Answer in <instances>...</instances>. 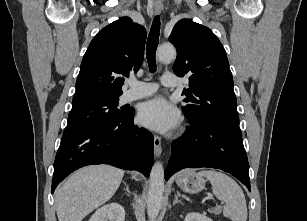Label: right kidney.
I'll list each match as a JSON object with an SVG mask.
<instances>
[{
	"label": "right kidney",
	"instance_id": "obj_1",
	"mask_svg": "<svg viewBox=\"0 0 307 221\" xmlns=\"http://www.w3.org/2000/svg\"><path fill=\"white\" fill-rule=\"evenodd\" d=\"M124 221L125 210L119 203H109L98 210L91 216L89 221Z\"/></svg>",
	"mask_w": 307,
	"mask_h": 221
}]
</instances>
